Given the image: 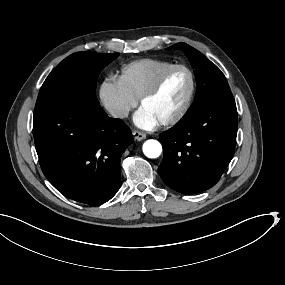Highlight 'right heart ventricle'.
Wrapping results in <instances>:
<instances>
[{
    "mask_svg": "<svg viewBox=\"0 0 285 285\" xmlns=\"http://www.w3.org/2000/svg\"><path fill=\"white\" fill-rule=\"evenodd\" d=\"M172 67V65L157 59H142L135 62L133 64L134 77L131 86V93H133L137 98L140 97Z\"/></svg>",
    "mask_w": 285,
    "mask_h": 285,
    "instance_id": "obj_1",
    "label": "right heart ventricle"
}]
</instances>
